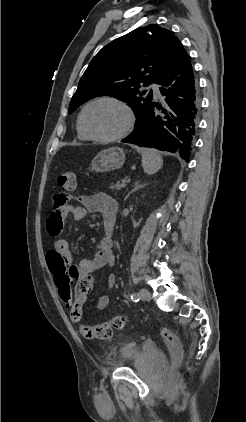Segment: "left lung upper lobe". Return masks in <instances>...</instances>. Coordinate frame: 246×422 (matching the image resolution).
<instances>
[{
  "label": "left lung upper lobe",
  "instance_id": "5c2ea615",
  "mask_svg": "<svg viewBox=\"0 0 246 422\" xmlns=\"http://www.w3.org/2000/svg\"><path fill=\"white\" fill-rule=\"evenodd\" d=\"M182 44L169 30L150 24L121 36L92 59L72 97L69 112L99 96L130 104L138 121L152 103V90L176 60Z\"/></svg>",
  "mask_w": 246,
  "mask_h": 422
}]
</instances>
